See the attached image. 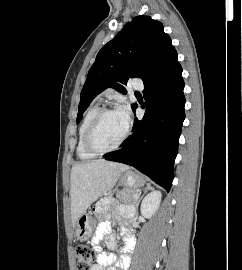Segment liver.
<instances>
[{"label": "liver", "instance_id": "6515ba94", "mask_svg": "<svg viewBox=\"0 0 242 270\" xmlns=\"http://www.w3.org/2000/svg\"><path fill=\"white\" fill-rule=\"evenodd\" d=\"M127 165L105 160L76 164L71 170V219L73 227L97 199L110 193Z\"/></svg>", "mask_w": 242, "mask_h": 270}]
</instances>
